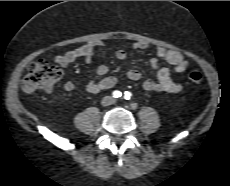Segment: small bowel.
<instances>
[{
    "label": "small bowel",
    "instance_id": "obj_1",
    "mask_svg": "<svg viewBox=\"0 0 230 186\" xmlns=\"http://www.w3.org/2000/svg\"><path fill=\"white\" fill-rule=\"evenodd\" d=\"M98 46H101L99 41L88 42L79 48L57 55L55 62L64 68L80 59L90 63ZM132 48L135 51L145 50L147 44L144 42H135ZM127 57V52L124 49L117 50L116 58L119 61L125 62ZM163 61L167 62L170 66L159 67V64ZM150 65L156 72L157 79L145 80L142 84L145 91L168 93H178L182 91L183 85L173 81L171 77L173 73H183L188 67V61L182 53L158 46L155 57L151 60ZM108 72L109 68L107 65H99L96 68L95 77L87 83L86 91L89 94H97L102 90L113 88L119 79L116 76L108 75ZM125 76L132 81L142 79V73L136 69L127 70ZM76 88L77 85L73 82L68 81L64 84L66 91H74Z\"/></svg>",
    "mask_w": 230,
    "mask_h": 186
}]
</instances>
